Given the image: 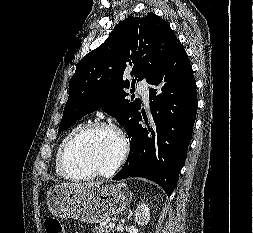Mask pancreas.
<instances>
[{
  "instance_id": "pancreas-1",
  "label": "pancreas",
  "mask_w": 253,
  "mask_h": 233,
  "mask_svg": "<svg viewBox=\"0 0 253 233\" xmlns=\"http://www.w3.org/2000/svg\"><path fill=\"white\" fill-rule=\"evenodd\" d=\"M92 231H93V233H110V229L107 224L95 226V227H93Z\"/></svg>"
}]
</instances>
